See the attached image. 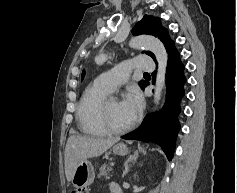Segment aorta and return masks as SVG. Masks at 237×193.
I'll return each instance as SVG.
<instances>
[{
    "mask_svg": "<svg viewBox=\"0 0 237 193\" xmlns=\"http://www.w3.org/2000/svg\"><path fill=\"white\" fill-rule=\"evenodd\" d=\"M129 46L133 49L145 48L151 51L156 57L158 71L154 89V104L157 106L161 100L162 92L165 87L166 68L168 63V54L164 44L152 35H139L130 40Z\"/></svg>",
    "mask_w": 237,
    "mask_h": 193,
    "instance_id": "obj_1",
    "label": "aorta"
}]
</instances>
